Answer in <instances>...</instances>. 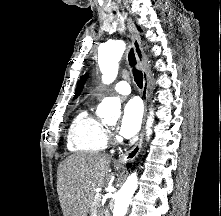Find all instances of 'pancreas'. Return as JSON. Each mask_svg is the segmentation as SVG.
Wrapping results in <instances>:
<instances>
[{
	"mask_svg": "<svg viewBox=\"0 0 221 216\" xmlns=\"http://www.w3.org/2000/svg\"><path fill=\"white\" fill-rule=\"evenodd\" d=\"M100 201H101V196L95 195L91 204V216H108V210L104 209L102 211L100 209Z\"/></svg>",
	"mask_w": 221,
	"mask_h": 216,
	"instance_id": "1",
	"label": "pancreas"
}]
</instances>
